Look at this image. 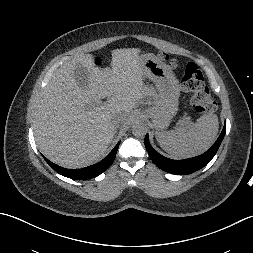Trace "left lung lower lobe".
I'll list each match as a JSON object with an SVG mask.
<instances>
[{
  "label": "left lung lower lobe",
  "mask_w": 253,
  "mask_h": 253,
  "mask_svg": "<svg viewBox=\"0 0 253 253\" xmlns=\"http://www.w3.org/2000/svg\"><path fill=\"white\" fill-rule=\"evenodd\" d=\"M226 132V123L213 146L202 155L184 160H172L159 154L149 143L148 134L145 136V147L153 162L162 170L172 174H190L207 165L215 156Z\"/></svg>",
  "instance_id": "obj_1"
}]
</instances>
